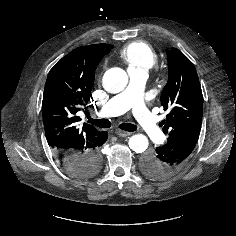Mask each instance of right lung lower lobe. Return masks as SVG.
Masks as SVG:
<instances>
[{
    "label": "right lung lower lobe",
    "instance_id": "98d812e1",
    "mask_svg": "<svg viewBox=\"0 0 236 236\" xmlns=\"http://www.w3.org/2000/svg\"><path fill=\"white\" fill-rule=\"evenodd\" d=\"M107 137L108 133L103 131L101 137L98 140V143L85 155L69 151L64 153H57L56 158L65 168V170L73 176L80 178L91 177L86 175L88 167L93 166V164H98L100 169L101 155L99 150L101 145L106 142Z\"/></svg>",
    "mask_w": 236,
    "mask_h": 236
}]
</instances>
